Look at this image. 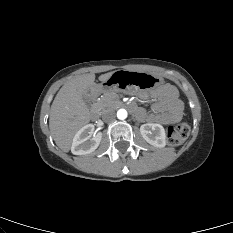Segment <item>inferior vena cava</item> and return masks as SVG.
Returning a JSON list of instances; mask_svg holds the SVG:
<instances>
[{"instance_id": "obj_1", "label": "inferior vena cava", "mask_w": 233, "mask_h": 233, "mask_svg": "<svg viewBox=\"0 0 233 233\" xmlns=\"http://www.w3.org/2000/svg\"><path fill=\"white\" fill-rule=\"evenodd\" d=\"M115 112L112 111V110H107L105 111L103 114H102V119L105 121V122H112L115 120Z\"/></svg>"}]
</instances>
